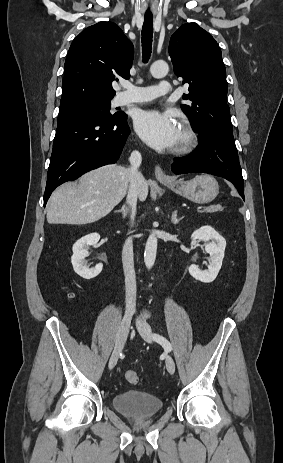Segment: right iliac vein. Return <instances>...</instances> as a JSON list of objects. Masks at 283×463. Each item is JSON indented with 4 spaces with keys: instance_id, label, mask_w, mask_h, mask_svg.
I'll use <instances>...</instances> for the list:
<instances>
[{
    "instance_id": "63e3f726",
    "label": "right iliac vein",
    "mask_w": 283,
    "mask_h": 463,
    "mask_svg": "<svg viewBox=\"0 0 283 463\" xmlns=\"http://www.w3.org/2000/svg\"><path fill=\"white\" fill-rule=\"evenodd\" d=\"M132 316H133L132 312H126L122 318V321H121V324L118 330L114 350L109 359V364H108L109 369H113L115 365L117 364V361L122 351L124 342L129 333Z\"/></svg>"
}]
</instances>
